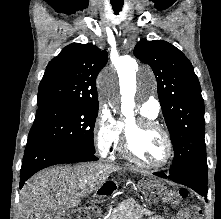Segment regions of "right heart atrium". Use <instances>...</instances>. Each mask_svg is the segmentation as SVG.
<instances>
[{"mask_svg": "<svg viewBox=\"0 0 221 219\" xmlns=\"http://www.w3.org/2000/svg\"><path fill=\"white\" fill-rule=\"evenodd\" d=\"M121 123L107 107H101L94 122V141L100 155L107 156L117 145Z\"/></svg>", "mask_w": 221, "mask_h": 219, "instance_id": "right-heart-atrium-1", "label": "right heart atrium"}]
</instances>
